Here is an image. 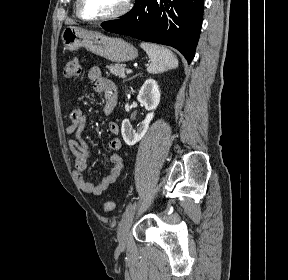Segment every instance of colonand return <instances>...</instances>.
<instances>
[{"mask_svg": "<svg viewBox=\"0 0 288 280\" xmlns=\"http://www.w3.org/2000/svg\"><path fill=\"white\" fill-rule=\"evenodd\" d=\"M82 74L81 66L77 58H71L67 61L64 68V76L68 79L80 78ZM104 210L106 212H112L116 208V204L113 201H106L104 203Z\"/></svg>", "mask_w": 288, "mask_h": 280, "instance_id": "obj_1", "label": "colon"}]
</instances>
